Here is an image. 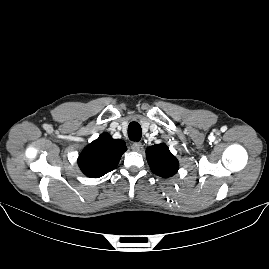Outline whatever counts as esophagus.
Returning a JSON list of instances; mask_svg holds the SVG:
<instances>
[{"label":"esophagus","mask_w":269,"mask_h":269,"mask_svg":"<svg viewBox=\"0 0 269 269\" xmlns=\"http://www.w3.org/2000/svg\"><path fill=\"white\" fill-rule=\"evenodd\" d=\"M141 148H142V143H141V142H134V143L131 145V149H132L133 151H139Z\"/></svg>","instance_id":"34e87169"}]
</instances>
